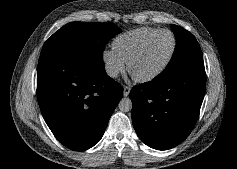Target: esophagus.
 <instances>
[{
  "mask_svg": "<svg viewBox=\"0 0 237 169\" xmlns=\"http://www.w3.org/2000/svg\"><path fill=\"white\" fill-rule=\"evenodd\" d=\"M130 90H131V87L130 86H124V89H123V96L127 97L130 93Z\"/></svg>",
  "mask_w": 237,
  "mask_h": 169,
  "instance_id": "esophagus-1",
  "label": "esophagus"
}]
</instances>
